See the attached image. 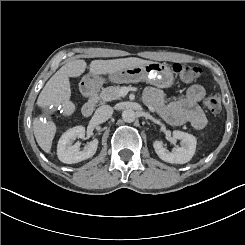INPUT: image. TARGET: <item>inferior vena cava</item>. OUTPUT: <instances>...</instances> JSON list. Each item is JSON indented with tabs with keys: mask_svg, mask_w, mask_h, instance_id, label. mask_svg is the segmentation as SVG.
Wrapping results in <instances>:
<instances>
[{
	"mask_svg": "<svg viewBox=\"0 0 245 245\" xmlns=\"http://www.w3.org/2000/svg\"><path fill=\"white\" fill-rule=\"evenodd\" d=\"M113 114V109L109 105L100 106L96 112L95 117L100 121H105L109 119Z\"/></svg>",
	"mask_w": 245,
	"mask_h": 245,
	"instance_id": "inferior-vena-cava-1",
	"label": "inferior vena cava"
}]
</instances>
